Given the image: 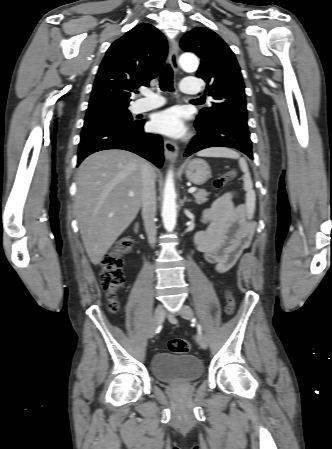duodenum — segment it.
<instances>
[{
    "instance_id": "obj_1",
    "label": "duodenum",
    "mask_w": 332,
    "mask_h": 449,
    "mask_svg": "<svg viewBox=\"0 0 332 449\" xmlns=\"http://www.w3.org/2000/svg\"><path fill=\"white\" fill-rule=\"evenodd\" d=\"M140 229V223H136L135 225V231L138 232Z\"/></svg>"
}]
</instances>
